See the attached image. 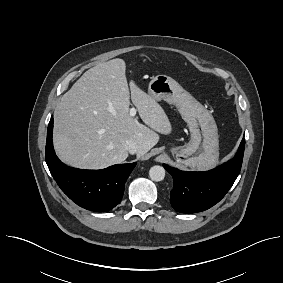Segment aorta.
<instances>
[{"instance_id": "1", "label": "aorta", "mask_w": 283, "mask_h": 283, "mask_svg": "<svg viewBox=\"0 0 283 283\" xmlns=\"http://www.w3.org/2000/svg\"><path fill=\"white\" fill-rule=\"evenodd\" d=\"M149 176L155 182L162 181L165 178V169L162 166L155 165L150 168Z\"/></svg>"}]
</instances>
